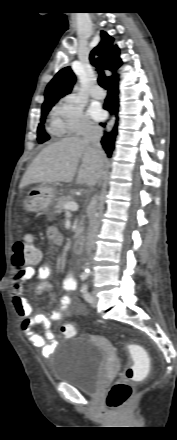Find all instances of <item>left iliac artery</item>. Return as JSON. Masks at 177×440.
<instances>
[{"label":"left iliac artery","mask_w":177,"mask_h":440,"mask_svg":"<svg viewBox=\"0 0 177 440\" xmlns=\"http://www.w3.org/2000/svg\"><path fill=\"white\" fill-rule=\"evenodd\" d=\"M81 293L84 297V299L91 303V301L93 300L92 295L88 292V285L87 284H83L81 287Z\"/></svg>","instance_id":"1"}]
</instances>
